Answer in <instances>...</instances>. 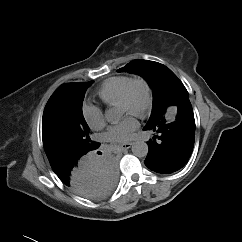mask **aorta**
Wrapping results in <instances>:
<instances>
[{"label":"aorta","mask_w":242,"mask_h":242,"mask_svg":"<svg viewBox=\"0 0 242 242\" xmlns=\"http://www.w3.org/2000/svg\"><path fill=\"white\" fill-rule=\"evenodd\" d=\"M105 119L108 122H115L120 118L119 112L114 108H109L105 111ZM132 153L136 157H146L149 151L147 143L144 141H136L132 144Z\"/></svg>","instance_id":"762f6f07"}]
</instances>
